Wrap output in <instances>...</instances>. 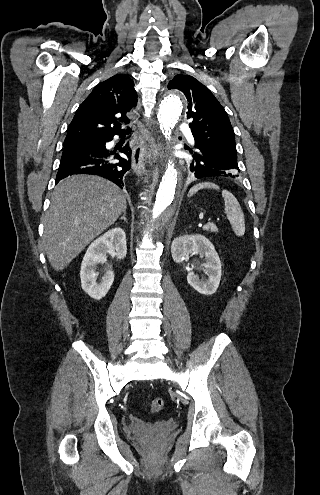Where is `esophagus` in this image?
Segmentation results:
<instances>
[{"label": "esophagus", "instance_id": "esophagus-1", "mask_svg": "<svg viewBox=\"0 0 320 495\" xmlns=\"http://www.w3.org/2000/svg\"><path fill=\"white\" fill-rule=\"evenodd\" d=\"M149 137L145 136L139 146H136L132 152V168L138 174L142 175L145 171V155L149 151L150 153H156L160 148L161 144L159 142H154L150 140L149 146H145L144 143Z\"/></svg>", "mask_w": 320, "mask_h": 495}]
</instances>
